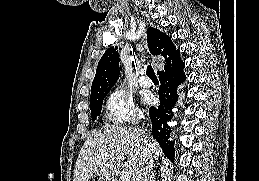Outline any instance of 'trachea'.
<instances>
[{
    "label": "trachea",
    "instance_id": "1",
    "mask_svg": "<svg viewBox=\"0 0 259 181\" xmlns=\"http://www.w3.org/2000/svg\"><path fill=\"white\" fill-rule=\"evenodd\" d=\"M146 74L149 78H157L154 69L151 65H148L146 68Z\"/></svg>",
    "mask_w": 259,
    "mask_h": 181
}]
</instances>
